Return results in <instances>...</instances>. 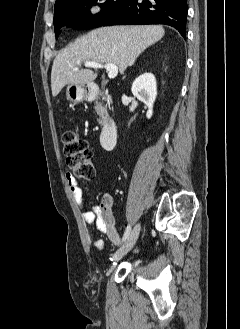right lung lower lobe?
Segmentation results:
<instances>
[{"label":"right lung lower lobe","mask_w":240,"mask_h":329,"mask_svg":"<svg viewBox=\"0 0 240 329\" xmlns=\"http://www.w3.org/2000/svg\"><path fill=\"white\" fill-rule=\"evenodd\" d=\"M187 13V0H125L102 25L165 24L186 38Z\"/></svg>","instance_id":"right-lung-lower-lobe-1"}]
</instances>
